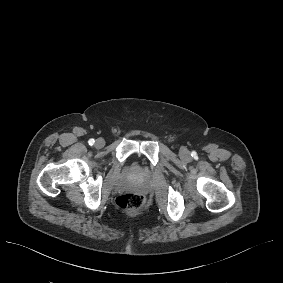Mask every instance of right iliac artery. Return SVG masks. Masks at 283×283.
<instances>
[{
	"label": "right iliac artery",
	"mask_w": 283,
	"mask_h": 283,
	"mask_svg": "<svg viewBox=\"0 0 283 283\" xmlns=\"http://www.w3.org/2000/svg\"><path fill=\"white\" fill-rule=\"evenodd\" d=\"M88 143H89V145H93V144L95 143V140H94V139H90V140L88 141Z\"/></svg>",
	"instance_id": "1"
}]
</instances>
